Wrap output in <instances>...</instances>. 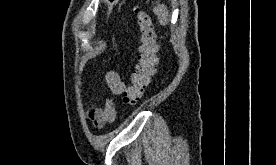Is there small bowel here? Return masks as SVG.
<instances>
[{
  "label": "small bowel",
  "instance_id": "c3829d8e",
  "mask_svg": "<svg viewBox=\"0 0 276 165\" xmlns=\"http://www.w3.org/2000/svg\"><path fill=\"white\" fill-rule=\"evenodd\" d=\"M108 90L113 95H121L125 92L126 85L121 79L119 73L110 70L105 75ZM116 111L111 101H108L104 108H92L88 111V118L95 127L101 128L105 124L114 121Z\"/></svg>",
  "mask_w": 276,
  "mask_h": 165
}]
</instances>
